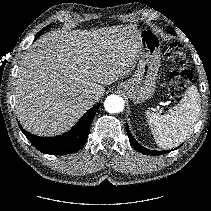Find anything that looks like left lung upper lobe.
Returning <instances> with one entry per match:
<instances>
[{"instance_id":"1","label":"left lung upper lobe","mask_w":211,"mask_h":211,"mask_svg":"<svg viewBox=\"0 0 211 211\" xmlns=\"http://www.w3.org/2000/svg\"><path fill=\"white\" fill-rule=\"evenodd\" d=\"M168 32L171 33L172 35H175V32L171 28H167Z\"/></svg>"}]
</instances>
